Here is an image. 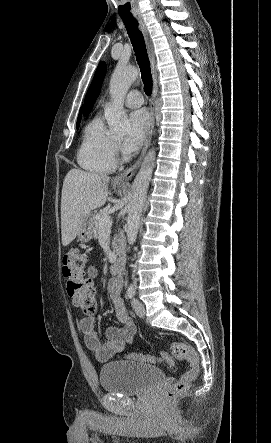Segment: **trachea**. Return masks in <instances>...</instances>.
<instances>
[{
	"instance_id": "obj_1",
	"label": "trachea",
	"mask_w": 271,
	"mask_h": 443,
	"mask_svg": "<svg viewBox=\"0 0 271 443\" xmlns=\"http://www.w3.org/2000/svg\"><path fill=\"white\" fill-rule=\"evenodd\" d=\"M132 0H120L118 16L122 18L131 43L134 48L135 56L141 71L142 80L144 83V91L146 95L150 96L152 93V76L150 63L147 55V50L142 33L138 28L136 18L133 17L130 4Z\"/></svg>"
}]
</instances>
